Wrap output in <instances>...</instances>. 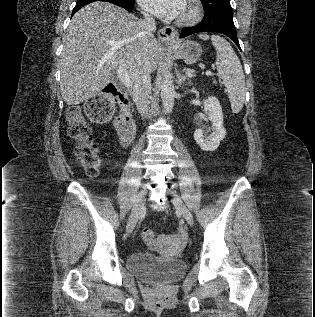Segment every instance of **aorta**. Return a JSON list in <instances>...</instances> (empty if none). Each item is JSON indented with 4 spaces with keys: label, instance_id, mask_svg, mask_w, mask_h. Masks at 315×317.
<instances>
[{
    "label": "aorta",
    "instance_id": "1",
    "mask_svg": "<svg viewBox=\"0 0 315 317\" xmlns=\"http://www.w3.org/2000/svg\"><path fill=\"white\" fill-rule=\"evenodd\" d=\"M175 89L172 75L166 72L161 82V99L166 112L170 113L174 106Z\"/></svg>",
    "mask_w": 315,
    "mask_h": 317
}]
</instances>
